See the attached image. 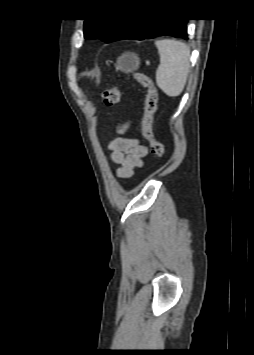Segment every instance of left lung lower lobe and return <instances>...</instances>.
<instances>
[{
    "mask_svg": "<svg viewBox=\"0 0 254 355\" xmlns=\"http://www.w3.org/2000/svg\"><path fill=\"white\" fill-rule=\"evenodd\" d=\"M186 19H141L132 18L116 40H144L157 36H173L188 39Z\"/></svg>",
    "mask_w": 254,
    "mask_h": 355,
    "instance_id": "left-lung-lower-lobe-1",
    "label": "left lung lower lobe"
}]
</instances>
